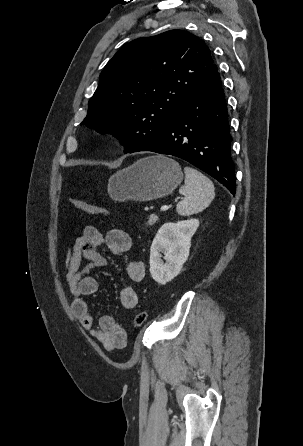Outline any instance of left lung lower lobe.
I'll list each match as a JSON object with an SVG mask.
<instances>
[{
	"mask_svg": "<svg viewBox=\"0 0 303 446\" xmlns=\"http://www.w3.org/2000/svg\"><path fill=\"white\" fill-rule=\"evenodd\" d=\"M231 135L225 94L216 71L181 105L173 122L137 151L182 158L235 194Z\"/></svg>",
	"mask_w": 303,
	"mask_h": 446,
	"instance_id": "0a47b994",
	"label": "left lung lower lobe"
}]
</instances>
